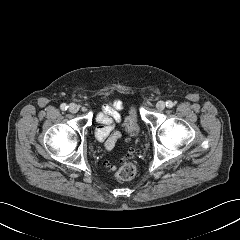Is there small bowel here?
<instances>
[{
	"label": "small bowel",
	"mask_w": 240,
	"mask_h": 240,
	"mask_svg": "<svg viewBox=\"0 0 240 240\" xmlns=\"http://www.w3.org/2000/svg\"><path fill=\"white\" fill-rule=\"evenodd\" d=\"M121 108L122 102L116 99L112 105L102 106L96 114V121L100 123V126L95 131V137L98 141L104 142L106 150H112L121 138V132L115 128V125L121 120L118 113Z\"/></svg>",
	"instance_id": "c3829d8e"
}]
</instances>
